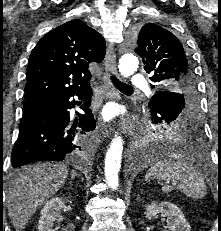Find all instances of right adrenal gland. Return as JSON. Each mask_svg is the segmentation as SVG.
Masks as SVG:
<instances>
[{
    "instance_id": "2a0ac1e0",
    "label": "right adrenal gland",
    "mask_w": 221,
    "mask_h": 231,
    "mask_svg": "<svg viewBox=\"0 0 221 231\" xmlns=\"http://www.w3.org/2000/svg\"><path fill=\"white\" fill-rule=\"evenodd\" d=\"M71 176H72V179H74L76 176L80 177V175L77 174L75 171H72Z\"/></svg>"
}]
</instances>
